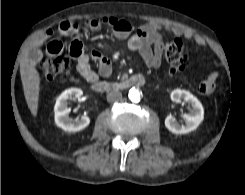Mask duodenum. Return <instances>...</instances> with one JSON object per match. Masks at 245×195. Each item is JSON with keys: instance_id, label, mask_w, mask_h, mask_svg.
Returning <instances> with one entry per match:
<instances>
[{"instance_id": "obj_1", "label": "duodenum", "mask_w": 245, "mask_h": 195, "mask_svg": "<svg viewBox=\"0 0 245 195\" xmlns=\"http://www.w3.org/2000/svg\"><path fill=\"white\" fill-rule=\"evenodd\" d=\"M145 84V77L142 74H135L118 82L94 81L92 89L96 92H109L128 89L131 87H141Z\"/></svg>"}]
</instances>
